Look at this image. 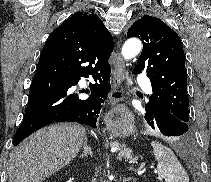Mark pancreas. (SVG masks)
Segmentation results:
<instances>
[{
  "instance_id": "obj_1",
  "label": "pancreas",
  "mask_w": 211,
  "mask_h": 182,
  "mask_svg": "<svg viewBox=\"0 0 211 182\" xmlns=\"http://www.w3.org/2000/svg\"><path fill=\"white\" fill-rule=\"evenodd\" d=\"M120 147H121V150L117 153V158L119 160L126 159V160H129L130 163L136 162L137 158L132 155L131 149L123 145Z\"/></svg>"
}]
</instances>
